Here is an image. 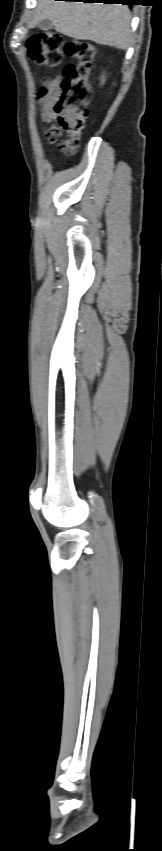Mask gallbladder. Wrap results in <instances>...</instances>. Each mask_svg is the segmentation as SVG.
I'll list each match as a JSON object with an SVG mask.
<instances>
[{
	"label": "gallbladder",
	"instance_id": "gallbladder-1",
	"mask_svg": "<svg viewBox=\"0 0 162 851\" xmlns=\"http://www.w3.org/2000/svg\"><path fill=\"white\" fill-rule=\"evenodd\" d=\"M38 27L41 30L48 31V30L52 29L53 24L49 19H43L42 21L39 22Z\"/></svg>",
	"mask_w": 162,
	"mask_h": 851
}]
</instances>
